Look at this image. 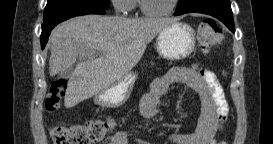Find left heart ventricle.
Listing matches in <instances>:
<instances>
[{"instance_id": "1", "label": "left heart ventricle", "mask_w": 273, "mask_h": 144, "mask_svg": "<svg viewBox=\"0 0 273 144\" xmlns=\"http://www.w3.org/2000/svg\"><path fill=\"white\" fill-rule=\"evenodd\" d=\"M173 0H147L149 9L164 10L170 7Z\"/></svg>"}]
</instances>
